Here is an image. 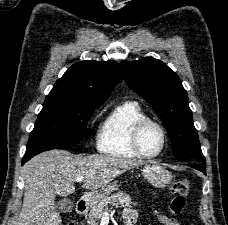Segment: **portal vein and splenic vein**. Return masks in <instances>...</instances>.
<instances>
[{"label":"portal vein and splenic vein","mask_w":228,"mask_h":225,"mask_svg":"<svg viewBox=\"0 0 228 225\" xmlns=\"http://www.w3.org/2000/svg\"><path fill=\"white\" fill-rule=\"evenodd\" d=\"M84 177H76L75 181L76 183H81L83 181ZM103 215H108V213H103Z\"/></svg>","instance_id":"portal-vein-and-splenic-vein-1"}]
</instances>
